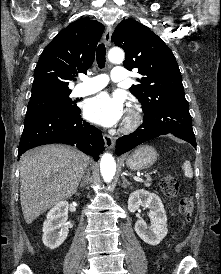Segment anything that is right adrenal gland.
<instances>
[{
	"instance_id": "right-adrenal-gland-1",
	"label": "right adrenal gland",
	"mask_w": 221,
	"mask_h": 274,
	"mask_svg": "<svg viewBox=\"0 0 221 274\" xmlns=\"http://www.w3.org/2000/svg\"><path fill=\"white\" fill-rule=\"evenodd\" d=\"M89 171L86 173V175L84 176V179H83V181H82V183L80 184V188H82V187H84L85 185H87V183H88V180H89Z\"/></svg>"
}]
</instances>
